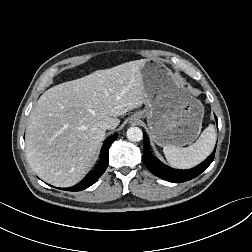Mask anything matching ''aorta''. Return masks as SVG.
I'll use <instances>...</instances> for the list:
<instances>
[{"label": "aorta", "mask_w": 252, "mask_h": 252, "mask_svg": "<svg viewBox=\"0 0 252 252\" xmlns=\"http://www.w3.org/2000/svg\"><path fill=\"white\" fill-rule=\"evenodd\" d=\"M126 136L131 142H139L143 139V132L139 127H130L126 132Z\"/></svg>", "instance_id": "obj_1"}]
</instances>
